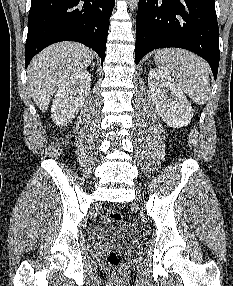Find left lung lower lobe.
Segmentation results:
<instances>
[{
	"mask_svg": "<svg viewBox=\"0 0 233 286\" xmlns=\"http://www.w3.org/2000/svg\"><path fill=\"white\" fill-rule=\"evenodd\" d=\"M219 28L215 0H139L135 63L165 47L190 50L204 58L217 78Z\"/></svg>",
	"mask_w": 233,
	"mask_h": 286,
	"instance_id": "left-lung-lower-lobe-1",
	"label": "left lung lower lobe"
}]
</instances>
